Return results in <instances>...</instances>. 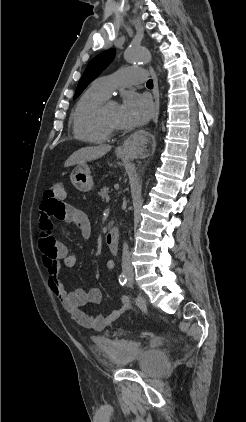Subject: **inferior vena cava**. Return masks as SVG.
Returning a JSON list of instances; mask_svg holds the SVG:
<instances>
[{"instance_id":"1","label":"inferior vena cava","mask_w":246,"mask_h":422,"mask_svg":"<svg viewBox=\"0 0 246 422\" xmlns=\"http://www.w3.org/2000/svg\"><path fill=\"white\" fill-rule=\"evenodd\" d=\"M122 269L124 272L133 273V268L131 265L130 253L128 250L127 243L123 244Z\"/></svg>"}]
</instances>
